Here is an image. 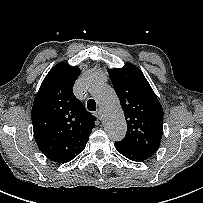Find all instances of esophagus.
Returning a JSON list of instances; mask_svg holds the SVG:
<instances>
[{
	"mask_svg": "<svg viewBox=\"0 0 203 203\" xmlns=\"http://www.w3.org/2000/svg\"><path fill=\"white\" fill-rule=\"evenodd\" d=\"M95 116L99 119V120H101L102 119V110H97L96 111V113H95Z\"/></svg>",
	"mask_w": 203,
	"mask_h": 203,
	"instance_id": "esophagus-1",
	"label": "esophagus"
}]
</instances>
